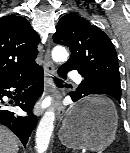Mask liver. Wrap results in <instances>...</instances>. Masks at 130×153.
<instances>
[{
	"label": "liver",
	"mask_w": 130,
	"mask_h": 153,
	"mask_svg": "<svg viewBox=\"0 0 130 153\" xmlns=\"http://www.w3.org/2000/svg\"><path fill=\"white\" fill-rule=\"evenodd\" d=\"M18 149L17 137L0 125V153H18Z\"/></svg>",
	"instance_id": "1"
}]
</instances>
